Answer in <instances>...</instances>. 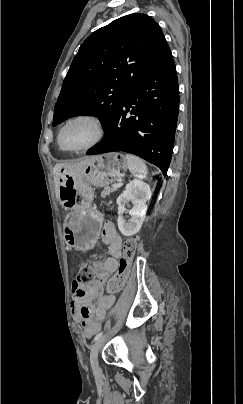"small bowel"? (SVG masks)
I'll return each mask as SVG.
<instances>
[{
	"label": "small bowel",
	"instance_id": "1",
	"mask_svg": "<svg viewBox=\"0 0 243 404\" xmlns=\"http://www.w3.org/2000/svg\"><path fill=\"white\" fill-rule=\"evenodd\" d=\"M102 242L108 246L110 257L96 264L98 279L84 285L78 281L72 283L71 310L74 319L79 322L86 337L94 335L105 319L107 311L113 305L115 296L112 293L102 294L104 282L118 268V258L121 257V239L114 224H104ZM97 302L94 303V300Z\"/></svg>",
	"mask_w": 243,
	"mask_h": 404
}]
</instances>
